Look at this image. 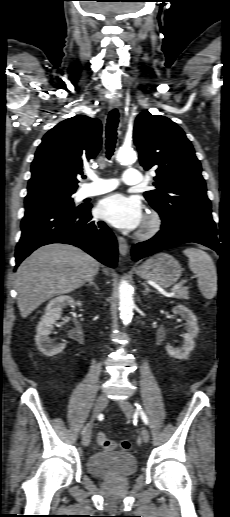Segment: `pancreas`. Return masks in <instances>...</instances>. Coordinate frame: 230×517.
<instances>
[{"label":"pancreas","mask_w":230,"mask_h":517,"mask_svg":"<svg viewBox=\"0 0 230 517\" xmlns=\"http://www.w3.org/2000/svg\"><path fill=\"white\" fill-rule=\"evenodd\" d=\"M188 287L180 288L175 292L174 297L178 299H188L189 298Z\"/></svg>","instance_id":"pancreas-1"}]
</instances>
